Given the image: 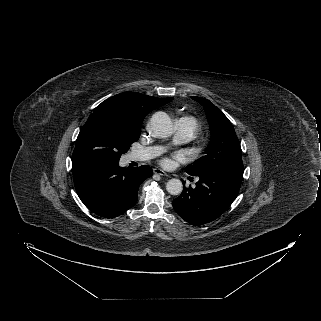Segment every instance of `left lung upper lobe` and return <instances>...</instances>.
I'll return each instance as SVG.
<instances>
[{
    "label": "left lung upper lobe",
    "mask_w": 321,
    "mask_h": 321,
    "mask_svg": "<svg viewBox=\"0 0 321 321\" xmlns=\"http://www.w3.org/2000/svg\"><path fill=\"white\" fill-rule=\"evenodd\" d=\"M205 110L211 131V141L205 155L186 167V172L196 176L221 166H243L241 146L229 119L212 102L191 96Z\"/></svg>",
    "instance_id": "left-lung-upper-lobe-1"
}]
</instances>
